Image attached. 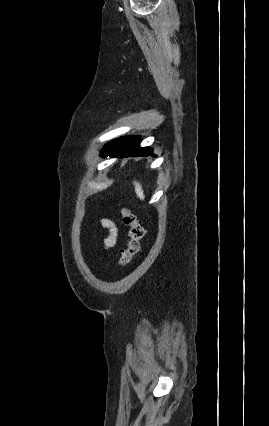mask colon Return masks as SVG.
Wrapping results in <instances>:
<instances>
[{"instance_id": "5ec220e1", "label": "colon", "mask_w": 269, "mask_h": 426, "mask_svg": "<svg viewBox=\"0 0 269 426\" xmlns=\"http://www.w3.org/2000/svg\"><path fill=\"white\" fill-rule=\"evenodd\" d=\"M121 220L128 228V242L117 262V266L127 265L140 250V242L145 235V229L138 220L135 213L128 207H122L120 210Z\"/></svg>"}]
</instances>
